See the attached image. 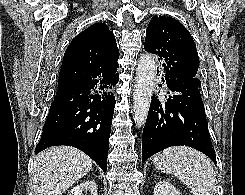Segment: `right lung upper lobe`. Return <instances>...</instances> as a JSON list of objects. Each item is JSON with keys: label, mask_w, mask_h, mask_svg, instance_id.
I'll use <instances>...</instances> for the list:
<instances>
[{"label": "right lung upper lobe", "mask_w": 245, "mask_h": 195, "mask_svg": "<svg viewBox=\"0 0 245 195\" xmlns=\"http://www.w3.org/2000/svg\"><path fill=\"white\" fill-rule=\"evenodd\" d=\"M118 58L119 50L112 31L103 23L93 24L77 35L68 46L58 86L90 80L98 70L113 75L119 67Z\"/></svg>", "instance_id": "obj_1"}]
</instances>
